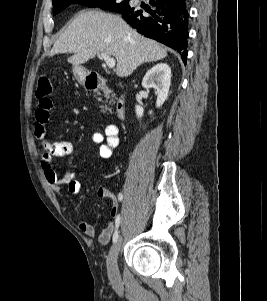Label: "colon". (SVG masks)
Returning a JSON list of instances; mask_svg holds the SVG:
<instances>
[{
    "instance_id": "colon-1",
    "label": "colon",
    "mask_w": 267,
    "mask_h": 301,
    "mask_svg": "<svg viewBox=\"0 0 267 301\" xmlns=\"http://www.w3.org/2000/svg\"><path fill=\"white\" fill-rule=\"evenodd\" d=\"M53 86L51 81L47 77H41L38 81L36 96L38 98H47L51 96Z\"/></svg>"
}]
</instances>
